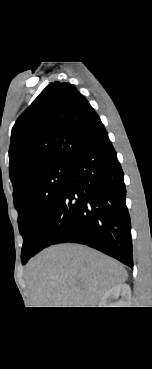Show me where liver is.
Instances as JSON below:
<instances>
[{
  "label": "liver",
  "instance_id": "obj_1",
  "mask_svg": "<svg viewBox=\"0 0 152 369\" xmlns=\"http://www.w3.org/2000/svg\"><path fill=\"white\" fill-rule=\"evenodd\" d=\"M127 277L122 264L96 250L60 244L28 263L26 279L34 307H96Z\"/></svg>",
  "mask_w": 152,
  "mask_h": 369
}]
</instances>
